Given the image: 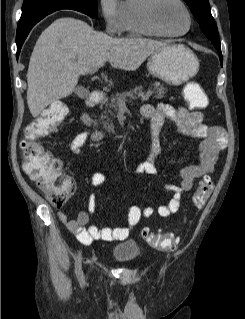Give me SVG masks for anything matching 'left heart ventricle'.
Here are the masks:
<instances>
[{"instance_id": "left-heart-ventricle-1", "label": "left heart ventricle", "mask_w": 245, "mask_h": 319, "mask_svg": "<svg viewBox=\"0 0 245 319\" xmlns=\"http://www.w3.org/2000/svg\"><path fill=\"white\" fill-rule=\"evenodd\" d=\"M159 22L171 32L184 31L188 25V19L182 7L172 0H163L157 8Z\"/></svg>"}]
</instances>
